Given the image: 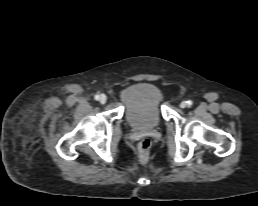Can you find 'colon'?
<instances>
[{
  "instance_id": "5ec220e1",
  "label": "colon",
  "mask_w": 258,
  "mask_h": 206,
  "mask_svg": "<svg viewBox=\"0 0 258 206\" xmlns=\"http://www.w3.org/2000/svg\"><path fill=\"white\" fill-rule=\"evenodd\" d=\"M138 156L141 161H146L149 157L151 150V141L149 139H143L138 144Z\"/></svg>"
}]
</instances>
